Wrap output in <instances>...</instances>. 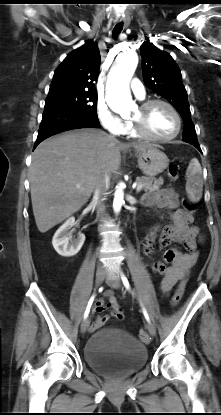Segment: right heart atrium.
<instances>
[{
    "mask_svg": "<svg viewBox=\"0 0 221 415\" xmlns=\"http://www.w3.org/2000/svg\"><path fill=\"white\" fill-rule=\"evenodd\" d=\"M96 113L101 126L108 133L114 136L126 133L129 123L115 114L104 101H98Z\"/></svg>",
    "mask_w": 221,
    "mask_h": 415,
    "instance_id": "1",
    "label": "right heart atrium"
}]
</instances>
